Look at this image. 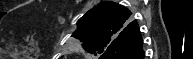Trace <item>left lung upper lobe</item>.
Masks as SVG:
<instances>
[{"label":"left lung upper lobe","mask_w":193,"mask_h":59,"mask_svg":"<svg viewBox=\"0 0 193 59\" xmlns=\"http://www.w3.org/2000/svg\"><path fill=\"white\" fill-rule=\"evenodd\" d=\"M131 12L113 2H102L81 17L73 37L83 42V49L94 55L103 54L121 37L131 23Z\"/></svg>","instance_id":"1"}]
</instances>
